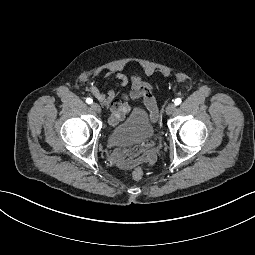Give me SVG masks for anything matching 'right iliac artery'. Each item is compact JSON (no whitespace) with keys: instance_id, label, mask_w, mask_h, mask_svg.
I'll return each instance as SVG.
<instances>
[{"instance_id":"obj_1","label":"right iliac artery","mask_w":255,"mask_h":255,"mask_svg":"<svg viewBox=\"0 0 255 255\" xmlns=\"http://www.w3.org/2000/svg\"><path fill=\"white\" fill-rule=\"evenodd\" d=\"M86 102H87L88 104H91V103L93 102V100H92L91 98H87V99H86Z\"/></svg>"}]
</instances>
